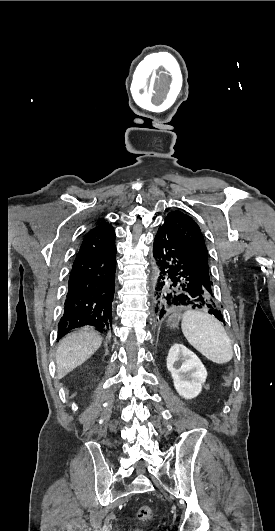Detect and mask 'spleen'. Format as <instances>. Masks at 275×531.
<instances>
[{
	"mask_svg": "<svg viewBox=\"0 0 275 531\" xmlns=\"http://www.w3.org/2000/svg\"><path fill=\"white\" fill-rule=\"evenodd\" d=\"M181 329L188 343L209 361L224 365L233 357L232 343L220 321L206 311H186Z\"/></svg>",
	"mask_w": 275,
	"mask_h": 531,
	"instance_id": "1",
	"label": "spleen"
}]
</instances>
